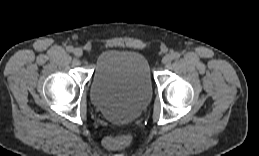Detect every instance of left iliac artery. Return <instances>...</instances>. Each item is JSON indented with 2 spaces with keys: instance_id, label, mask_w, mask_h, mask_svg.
I'll use <instances>...</instances> for the list:
<instances>
[{
  "instance_id": "left-iliac-artery-1",
  "label": "left iliac artery",
  "mask_w": 259,
  "mask_h": 156,
  "mask_svg": "<svg viewBox=\"0 0 259 156\" xmlns=\"http://www.w3.org/2000/svg\"><path fill=\"white\" fill-rule=\"evenodd\" d=\"M172 57L174 59H178V58H180V54L178 52H175V53L172 54Z\"/></svg>"
}]
</instances>
